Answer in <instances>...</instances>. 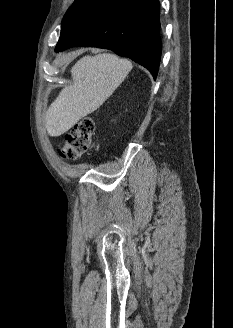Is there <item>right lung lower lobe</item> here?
Returning a JSON list of instances; mask_svg holds the SVG:
<instances>
[{
    "instance_id": "1",
    "label": "right lung lower lobe",
    "mask_w": 233,
    "mask_h": 328,
    "mask_svg": "<svg viewBox=\"0 0 233 328\" xmlns=\"http://www.w3.org/2000/svg\"><path fill=\"white\" fill-rule=\"evenodd\" d=\"M159 0H92L65 17L55 51L72 46L109 49L158 74L162 45Z\"/></svg>"
}]
</instances>
